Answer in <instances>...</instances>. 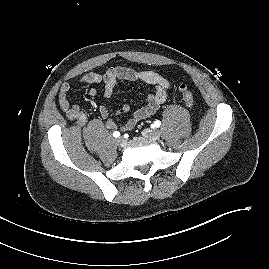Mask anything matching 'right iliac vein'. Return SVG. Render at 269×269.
Segmentation results:
<instances>
[{
    "label": "right iliac vein",
    "instance_id": "obj_1",
    "mask_svg": "<svg viewBox=\"0 0 269 269\" xmlns=\"http://www.w3.org/2000/svg\"><path fill=\"white\" fill-rule=\"evenodd\" d=\"M116 144L120 147L126 146L127 142L123 137H119L116 139Z\"/></svg>",
    "mask_w": 269,
    "mask_h": 269
}]
</instances>
